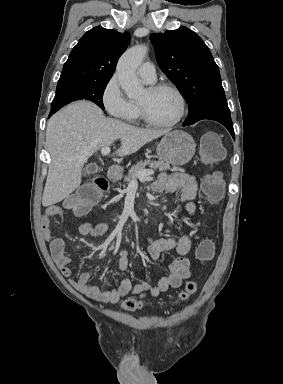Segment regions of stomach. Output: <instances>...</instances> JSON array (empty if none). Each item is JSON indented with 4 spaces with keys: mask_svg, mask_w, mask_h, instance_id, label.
<instances>
[{
    "mask_svg": "<svg viewBox=\"0 0 283 384\" xmlns=\"http://www.w3.org/2000/svg\"><path fill=\"white\" fill-rule=\"evenodd\" d=\"M196 144L187 132L174 130L163 136L157 146V156L162 162L172 164V166H184L193 158Z\"/></svg>",
    "mask_w": 283,
    "mask_h": 384,
    "instance_id": "stomach-1",
    "label": "stomach"
}]
</instances>
